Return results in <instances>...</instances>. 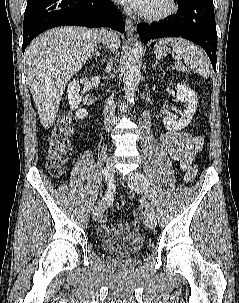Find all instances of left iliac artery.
<instances>
[{
	"instance_id": "1",
	"label": "left iliac artery",
	"mask_w": 239,
	"mask_h": 303,
	"mask_svg": "<svg viewBox=\"0 0 239 303\" xmlns=\"http://www.w3.org/2000/svg\"><path fill=\"white\" fill-rule=\"evenodd\" d=\"M138 177H139L141 186L143 188L144 194H147L148 193L149 184H148V181H147L146 177L143 174H141V173H138Z\"/></svg>"
}]
</instances>
